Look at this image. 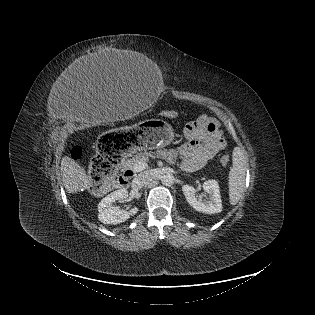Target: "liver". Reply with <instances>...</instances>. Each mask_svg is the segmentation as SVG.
<instances>
[{
    "label": "liver",
    "instance_id": "liver-1",
    "mask_svg": "<svg viewBox=\"0 0 315 315\" xmlns=\"http://www.w3.org/2000/svg\"><path fill=\"white\" fill-rule=\"evenodd\" d=\"M126 55L129 57L130 53L127 51H110L92 54L84 57L74 71L79 72L78 74L92 75L112 73L115 70H119L121 66L120 60ZM122 112L127 118L128 111L123 110ZM61 174L64 187L69 194L92 187V179L86 174L85 169L68 156H64L61 160Z\"/></svg>",
    "mask_w": 315,
    "mask_h": 315
}]
</instances>
